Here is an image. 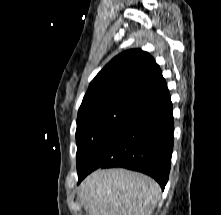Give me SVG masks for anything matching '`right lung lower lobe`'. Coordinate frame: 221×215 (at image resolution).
<instances>
[{"instance_id":"obj_1","label":"right lung lower lobe","mask_w":221,"mask_h":215,"mask_svg":"<svg viewBox=\"0 0 221 215\" xmlns=\"http://www.w3.org/2000/svg\"><path fill=\"white\" fill-rule=\"evenodd\" d=\"M172 110L168 89L135 106L78 173L79 182L95 169L123 167L151 176L164 190L173 150Z\"/></svg>"}]
</instances>
